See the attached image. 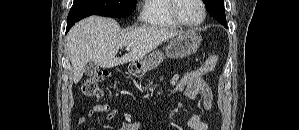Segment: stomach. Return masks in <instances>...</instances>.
I'll return each instance as SVG.
<instances>
[{
  "label": "stomach",
  "instance_id": "stomach-1",
  "mask_svg": "<svg viewBox=\"0 0 299 130\" xmlns=\"http://www.w3.org/2000/svg\"><path fill=\"white\" fill-rule=\"evenodd\" d=\"M201 43V37L193 31H188L172 39L165 48V54L154 50L140 60L132 61L128 71L132 75H141L159 66L165 56L169 58H185L194 54Z\"/></svg>",
  "mask_w": 299,
  "mask_h": 130
}]
</instances>
